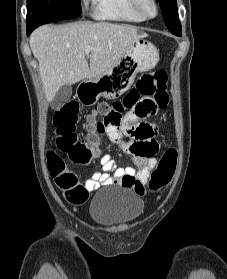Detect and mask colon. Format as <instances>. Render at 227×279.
Here are the masks:
<instances>
[{
    "label": "colon",
    "instance_id": "colon-1",
    "mask_svg": "<svg viewBox=\"0 0 227 279\" xmlns=\"http://www.w3.org/2000/svg\"><path fill=\"white\" fill-rule=\"evenodd\" d=\"M167 75L164 71H154L143 74L137 84L124 96L122 100L112 103H102L100 113L90 116L93 133L100 135L104 125L118 134L121 127V114L126 109H134V118L149 117L157 110L166 107L169 97L166 92ZM79 118V105L70 101L58 108L53 115L54 135L61 151L67 155L50 152L47 158L50 175L57 178L58 187L68 199L78 197L83 189L78 176L67 166L68 158L79 164H88L99 154L97 141L87 145L79 140L76 133V123ZM128 131L137 139L131 146V152L142 158H151L158 151V146L151 141L154 129L148 125L133 126ZM177 167V152L169 148L160 158L157 167L151 173L148 186L151 190H159L167 186L175 174ZM124 185L132 187L138 195L144 193L141 181L137 178H128Z\"/></svg>",
    "mask_w": 227,
    "mask_h": 279
}]
</instances>
